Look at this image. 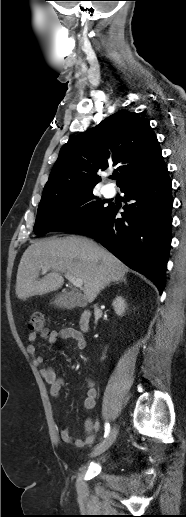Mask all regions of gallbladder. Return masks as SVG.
<instances>
[{"mask_svg": "<svg viewBox=\"0 0 186 517\" xmlns=\"http://www.w3.org/2000/svg\"><path fill=\"white\" fill-rule=\"evenodd\" d=\"M59 307H66L70 305H78L79 302L75 295L71 292H63L56 296L54 302Z\"/></svg>", "mask_w": 186, "mask_h": 517, "instance_id": "bac80fb5", "label": "gallbladder"}]
</instances>
